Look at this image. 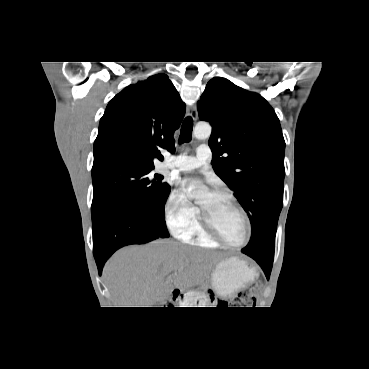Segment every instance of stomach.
Listing matches in <instances>:
<instances>
[{
  "mask_svg": "<svg viewBox=\"0 0 369 369\" xmlns=\"http://www.w3.org/2000/svg\"><path fill=\"white\" fill-rule=\"evenodd\" d=\"M255 277L254 271L238 258L220 261L212 273V286L221 296L228 297Z\"/></svg>",
  "mask_w": 369,
  "mask_h": 369,
  "instance_id": "stomach-1",
  "label": "stomach"
}]
</instances>
